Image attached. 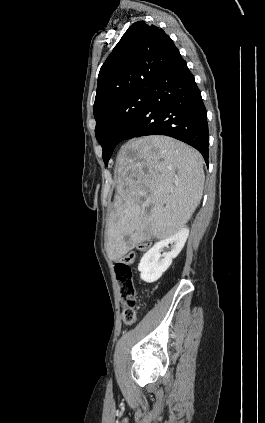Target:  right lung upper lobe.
<instances>
[{
	"label": "right lung upper lobe",
	"mask_w": 265,
	"mask_h": 423,
	"mask_svg": "<svg viewBox=\"0 0 265 423\" xmlns=\"http://www.w3.org/2000/svg\"><path fill=\"white\" fill-rule=\"evenodd\" d=\"M178 53L163 29L144 21L132 24L100 69L94 117L132 93L151 89Z\"/></svg>",
	"instance_id": "cb5924a9"
}]
</instances>
